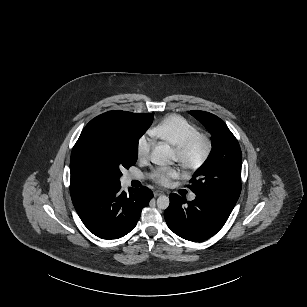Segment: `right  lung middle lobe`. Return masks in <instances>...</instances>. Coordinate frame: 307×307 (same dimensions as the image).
I'll use <instances>...</instances> for the list:
<instances>
[{"label": "right lung middle lobe", "instance_id": "right-lung-middle-lobe-1", "mask_svg": "<svg viewBox=\"0 0 307 307\" xmlns=\"http://www.w3.org/2000/svg\"><path fill=\"white\" fill-rule=\"evenodd\" d=\"M146 129L132 123L123 113L101 114L81 132L70 163L94 185L120 184V169L136 163L138 140Z\"/></svg>", "mask_w": 307, "mask_h": 307}]
</instances>
